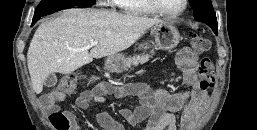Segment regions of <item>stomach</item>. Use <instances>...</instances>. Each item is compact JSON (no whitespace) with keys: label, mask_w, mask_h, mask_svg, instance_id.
I'll return each instance as SVG.
<instances>
[{"label":"stomach","mask_w":257,"mask_h":130,"mask_svg":"<svg viewBox=\"0 0 257 130\" xmlns=\"http://www.w3.org/2000/svg\"><path fill=\"white\" fill-rule=\"evenodd\" d=\"M151 35V43L154 47L152 52L154 49L172 50L180 41L178 29L169 21H163L153 26L151 28ZM125 60V56L120 53L109 55L105 58L104 67L109 72L119 73L125 69Z\"/></svg>","instance_id":"stomach-1"}]
</instances>
